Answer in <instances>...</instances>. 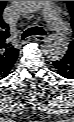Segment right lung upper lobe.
<instances>
[{
	"mask_svg": "<svg viewBox=\"0 0 74 122\" xmlns=\"http://www.w3.org/2000/svg\"><path fill=\"white\" fill-rule=\"evenodd\" d=\"M6 1H0V78L6 77L18 57L19 50L9 42V27L2 20V11Z\"/></svg>",
	"mask_w": 74,
	"mask_h": 122,
	"instance_id": "obj_1",
	"label": "right lung upper lobe"
}]
</instances>
